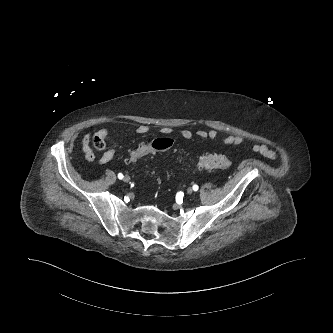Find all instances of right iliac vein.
<instances>
[{
  "label": "right iliac vein",
  "instance_id": "right-iliac-vein-1",
  "mask_svg": "<svg viewBox=\"0 0 333 333\" xmlns=\"http://www.w3.org/2000/svg\"><path fill=\"white\" fill-rule=\"evenodd\" d=\"M123 181L128 183L130 181V177L128 175L124 176Z\"/></svg>",
  "mask_w": 333,
  "mask_h": 333
}]
</instances>
